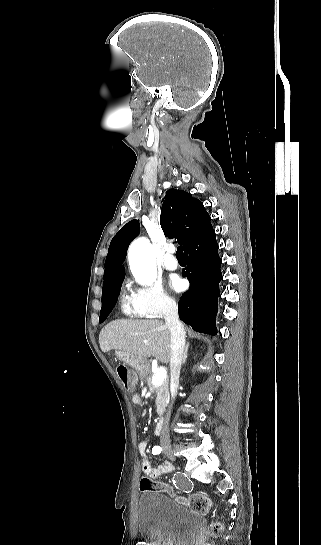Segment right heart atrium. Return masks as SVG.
<instances>
[{"label":"right heart atrium","instance_id":"right-heart-atrium-1","mask_svg":"<svg viewBox=\"0 0 321 545\" xmlns=\"http://www.w3.org/2000/svg\"><path fill=\"white\" fill-rule=\"evenodd\" d=\"M128 292L133 311L141 318L159 319L177 308V301L162 289L156 278L146 285L130 286Z\"/></svg>","mask_w":321,"mask_h":545}]
</instances>
